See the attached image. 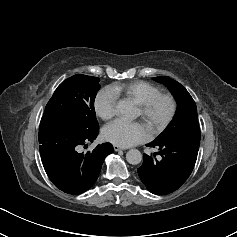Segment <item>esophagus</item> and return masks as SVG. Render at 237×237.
<instances>
[{"label": "esophagus", "instance_id": "obj_1", "mask_svg": "<svg viewBox=\"0 0 237 237\" xmlns=\"http://www.w3.org/2000/svg\"><path fill=\"white\" fill-rule=\"evenodd\" d=\"M113 148H114L115 151L124 150L123 148H121V147H119V146H116V145H114Z\"/></svg>", "mask_w": 237, "mask_h": 237}]
</instances>
